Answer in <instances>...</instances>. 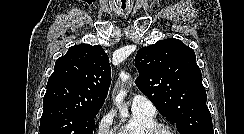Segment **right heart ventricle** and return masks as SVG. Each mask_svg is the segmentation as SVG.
I'll return each mask as SVG.
<instances>
[{"label": "right heart ventricle", "instance_id": "right-heart-ventricle-1", "mask_svg": "<svg viewBox=\"0 0 244 134\" xmlns=\"http://www.w3.org/2000/svg\"><path fill=\"white\" fill-rule=\"evenodd\" d=\"M154 123H156L154 116L132 111L130 121L117 128L115 134H144L145 130Z\"/></svg>", "mask_w": 244, "mask_h": 134}]
</instances>
